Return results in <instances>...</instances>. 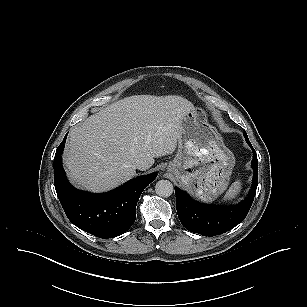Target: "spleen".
<instances>
[{
  "instance_id": "spleen-1",
  "label": "spleen",
  "mask_w": 307,
  "mask_h": 307,
  "mask_svg": "<svg viewBox=\"0 0 307 307\" xmlns=\"http://www.w3.org/2000/svg\"><path fill=\"white\" fill-rule=\"evenodd\" d=\"M242 188V184L240 180L235 181L230 188L228 189V191L226 192L223 200L227 201V200H232L234 199L241 191Z\"/></svg>"
}]
</instances>
